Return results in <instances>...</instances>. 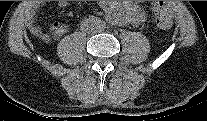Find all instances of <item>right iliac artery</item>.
<instances>
[{
  "mask_svg": "<svg viewBox=\"0 0 207 121\" xmlns=\"http://www.w3.org/2000/svg\"><path fill=\"white\" fill-rule=\"evenodd\" d=\"M89 20H90V22H92L93 24H99V23H100V20H99L97 17H95V16H90V17H89Z\"/></svg>",
  "mask_w": 207,
  "mask_h": 121,
  "instance_id": "82829eb1",
  "label": "right iliac artery"
}]
</instances>
